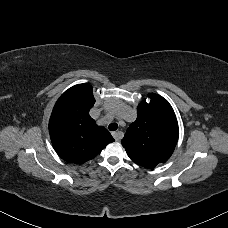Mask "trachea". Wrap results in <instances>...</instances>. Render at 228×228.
Masks as SVG:
<instances>
[{
    "label": "trachea",
    "mask_w": 228,
    "mask_h": 228,
    "mask_svg": "<svg viewBox=\"0 0 228 228\" xmlns=\"http://www.w3.org/2000/svg\"><path fill=\"white\" fill-rule=\"evenodd\" d=\"M108 128H109L110 131H115V130H117L118 125H117V123H111V124L108 126Z\"/></svg>",
    "instance_id": "3493384b"
}]
</instances>
